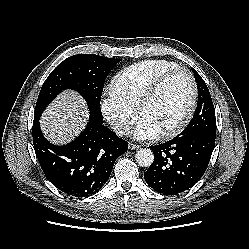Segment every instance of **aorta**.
Instances as JSON below:
<instances>
[{"instance_id": "762f6f07", "label": "aorta", "mask_w": 249, "mask_h": 249, "mask_svg": "<svg viewBox=\"0 0 249 249\" xmlns=\"http://www.w3.org/2000/svg\"><path fill=\"white\" fill-rule=\"evenodd\" d=\"M135 159L141 167H150L154 161V154L150 149L142 148L136 152Z\"/></svg>"}]
</instances>
